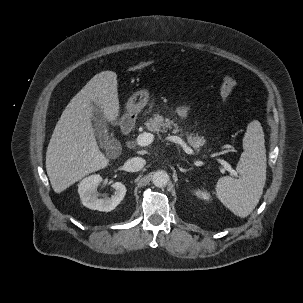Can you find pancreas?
Masks as SVG:
<instances>
[{"label": "pancreas", "mask_w": 303, "mask_h": 303, "mask_svg": "<svg viewBox=\"0 0 303 303\" xmlns=\"http://www.w3.org/2000/svg\"><path fill=\"white\" fill-rule=\"evenodd\" d=\"M145 126L147 130L151 132H167L168 130H172V133L177 134L181 133L182 135H186V139L188 143L195 149L199 150L204 144L205 139L204 137H200L198 135L185 132L183 134V130L179 128L178 124L175 123L173 120H170L169 118H164L163 116H160L159 114H154L152 118H150L146 123Z\"/></svg>", "instance_id": "1"}]
</instances>
